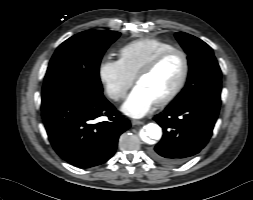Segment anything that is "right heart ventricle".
<instances>
[{
  "label": "right heart ventricle",
  "mask_w": 253,
  "mask_h": 200,
  "mask_svg": "<svg viewBox=\"0 0 253 200\" xmlns=\"http://www.w3.org/2000/svg\"><path fill=\"white\" fill-rule=\"evenodd\" d=\"M174 46L155 38H142L131 41L119 50V61L132 78L148 62L160 53L173 49Z\"/></svg>",
  "instance_id": "right-heart-ventricle-1"
}]
</instances>
